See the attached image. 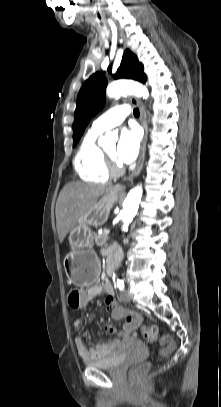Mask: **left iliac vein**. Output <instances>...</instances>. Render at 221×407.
<instances>
[{
  "mask_svg": "<svg viewBox=\"0 0 221 407\" xmlns=\"http://www.w3.org/2000/svg\"><path fill=\"white\" fill-rule=\"evenodd\" d=\"M120 298H121L122 302H124V303H129L131 301L130 294L127 290H124L121 293Z\"/></svg>",
  "mask_w": 221,
  "mask_h": 407,
  "instance_id": "4c4485c4",
  "label": "left iliac vein"
}]
</instances>
